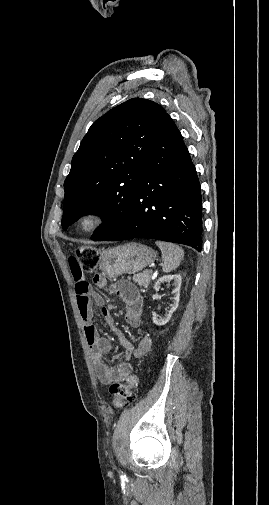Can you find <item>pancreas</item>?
Returning <instances> with one entry per match:
<instances>
[{"mask_svg": "<svg viewBox=\"0 0 269 505\" xmlns=\"http://www.w3.org/2000/svg\"><path fill=\"white\" fill-rule=\"evenodd\" d=\"M151 276H152V273H150L149 270H146L142 273L134 275L132 280L134 282H136L139 286H143L144 288H147L150 284Z\"/></svg>", "mask_w": 269, "mask_h": 505, "instance_id": "obj_1", "label": "pancreas"}]
</instances>
